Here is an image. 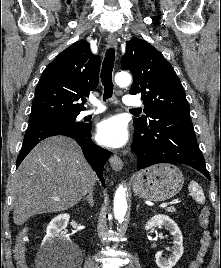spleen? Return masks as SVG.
I'll list each match as a JSON object with an SVG mask.
<instances>
[{
  "label": "spleen",
  "instance_id": "3e777b00",
  "mask_svg": "<svg viewBox=\"0 0 221 268\" xmlns=\"http://www.w3.org/2000/svg\"><path fill=\"white\" fill-rule=\"evenodd\" d=\"M189 190L194 195V199L199 203L203 204L205 202V196L202 188L195 181H191L189 185Z\"/></svg>",
  "mask_w": 221,
  "mask_h": 268
}]
</instances>
